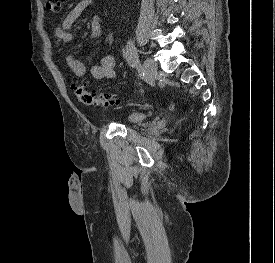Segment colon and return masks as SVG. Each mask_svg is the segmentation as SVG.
I'll use <instances>...</instances> for the list:
<instances>
[{"label": "colon", "instance_id": "obj_1", "mask_svg": "<svg viewBox=\"0 0 275 263\" xmlns=\"http://www.w3.org/2000/svg\"><path fill=\"white\" fill-rule=\"evenodd\" d=\"M64 0H45L46 8L52 12L60 11ZM71 89L75 97L83 104L99 108H108L118 105L120 100L109 94H96L89 91L85 84L81 82H73Z\"/></svg>", "mask_w": 275, "mask_h": 263}]
</instances>
